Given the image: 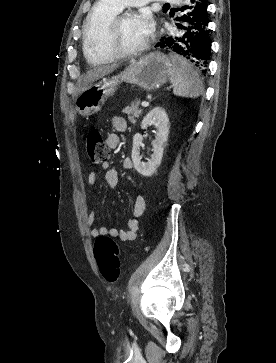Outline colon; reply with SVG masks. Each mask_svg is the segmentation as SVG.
<instances>
[{
	"label": "colon",
	"instance_id": "1",
	"mask_svg": "<svg viewBox=\"0 0 276 363\" xmlns=\"http://www.w3.org/2000/svg\"><path fill=\"white\" fill-rule=\"evenodd\" d=\"M87 153L94 164H103L108 159L109 150L98 129H90L87 133ZM94 257L103 278L115 282L120 276V252L116 242L109 236H98L94 243Z\"/></svg>",
	"mask_w": 276,
	"mask_h": 363
}]
</instances>
